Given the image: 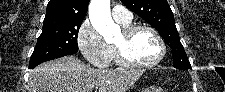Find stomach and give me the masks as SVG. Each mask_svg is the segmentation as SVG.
<instances>
[{
  "mask_svg": "<svg viewBox=\"0 0 225 92\" xmlns=\"http://www.w3.org/2000/svg\"><path fill=\"white\" fill-rule=\"evenodd\" d=\"M143 92H163L160 88H147Z\"/></svg>",
  "mask_w": 225,
  "mask_h": 92,
  "instance_id": "obj_1",
  "label": "stomach"
}]
</instances>
